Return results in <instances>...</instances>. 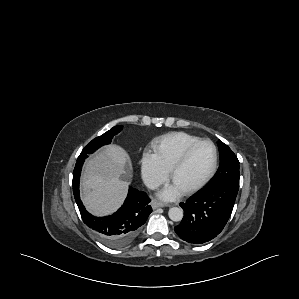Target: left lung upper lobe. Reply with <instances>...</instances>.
Segmentation results:
<instances>
[{
	"label": "left lung upper lobe",
	"instance_id": "left-lung-upper-lobe-1",
	"mask_svg": "<svg viewBox=\"0 0 299 299\" xmlns=\"http://www.w3.org/2000/svg\"><path fill=\"white\" fill-rule=\"evenodd\" d=\"M220 166L207 187L229 186L239 189V161L231 149L221 140L218 141Z\"/></svg>",
	"mask_w": 299,
	"mask_h": 299
}]
</instances>
